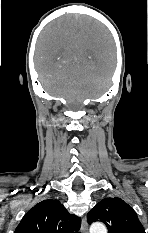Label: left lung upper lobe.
<instances>
[{
	"label": "left lung upper lobe",
	"mask_w": 148,
	"mask_h": 233,
	"mask_svg": "<svg viewBox=\"0 0 148 233\" xmlns=\"http://www.w3.org/2000/svg\"><path fill=\"white\" fill-rule=\"evenodd\" d=\"M89 224L103 222L108 233H145L136 212L120 198H106L87 214Z\"/></svg>",
	"instance_id": "obj_1"
}]
</instances>
